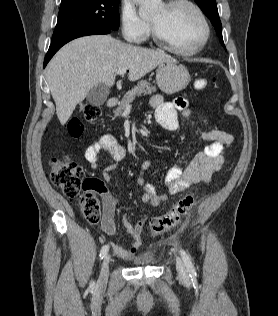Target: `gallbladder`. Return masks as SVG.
<instances>
[{"mask_svg":"<svg viewBox=\"0 0 278 316\" xmlns=\"http://www.w3.org/2000/svg\"><path fill=\"white\" fill-rule=\"evenodd\" d=\"M109 93L110 90L106 85L99 84L88 92L86 99L91 105L100 106L106 101Z\"/></svg>","mask_w":278,"mask_h":316,"instance_id":"1","label":"gallbladder"}]
</instances>
